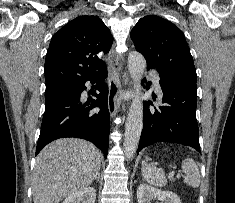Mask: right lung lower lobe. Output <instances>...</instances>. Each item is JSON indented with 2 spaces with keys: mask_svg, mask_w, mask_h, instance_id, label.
Listing matches in <instances>:
<instances>
[{
  "mask_svg": "<svg viewBox=\"0 0 235 203\" xmlns=\"http://www.w3.org/2000/svg\"><path fill=\"white\" fill-rule=\"evenodd\" d=\"M86 78L73 83L67 89L46 98L45 113L37 143L36 155L48 143L64 137H76L95 144L107 156L108 136L110 133V114L108 110V87L100 83L99 94L94 93L96 100L91 105L82 104L80 95L86 89L85 82L92 83L101 73L107 76L106 67ZM99 107L100 110H94Z\"/></svg>",
  "mask_w": 235,
  "mask_h": 203,
  "instance_id": "obj_1",
  "label": "right lung lower lobe"
}]
</instances>
